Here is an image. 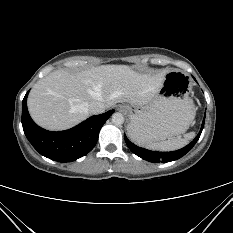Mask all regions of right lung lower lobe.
Wrapping results in <instances>:
<instances>
[{
    "instance_id": "right-lung-lower-lobe-1",
    "label": "right lung lower lobe",
    "mask_w": 233,
    "mask_h": 233,
    "mask_svg": "<svg viewBox=\"0 0 233 233\" xmlns=\"http://www.w3.org/2000/svg\"><path fill=\"white\" fill-rule=\"evenodd\" d=\"M22 104V126L32 146L43 156L58 162H71L89 153L97 143L99 131L114 112L92 116L79 125L65 131L51 132L42 129L31 119L26 105Z\"/></svg>"
}]
</instances>
